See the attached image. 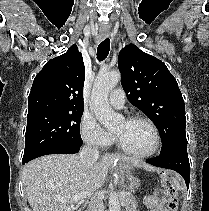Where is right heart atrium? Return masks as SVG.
<instances>
[{
    "label": "right heart atrium",
    "mask_w": 209,
    "mask_h": 211,
    "mask_svg": "<svg viewBox=\"0 0 209 211\" xmlns=\"http://www.w3.org/2000/svg\"><path fill=\"white\" fill-rule=\"evenodd\" d=\"M83 141L93 147L104 148L113 142V136L103 129L90 114H84L80 123Z\"/></svg>",
    "instance_id": "obj_1"
}]
</instances>
